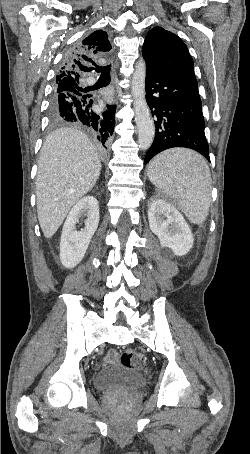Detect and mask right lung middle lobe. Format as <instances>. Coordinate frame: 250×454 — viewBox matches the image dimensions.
<instances>
[{
    "label": "right lung middle lobe",
    "instance_id": "1",
    "mask_svg": "<svg viewBox=\"0 0 250 454\" xmlns=\"http://www.w3.org/2000/svg\"><path fill=\"white\" fill-rule=\"evenodd\" d=\"M81 91H82V88H80L77 83L66 84L63 86L55 85L51 102L56 101L58 98V95L61 93L67 94L70 99H72L73 95H75L77 97H84L85 95H82ZM50 118H51L52 123H54V124L64 123V121H62L61 118L55 116V114L52 110L50 111Z\"/></svg>",
    "mask_w": 250,
    "mask_h": 454
}]
</instances>
